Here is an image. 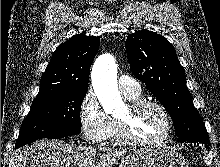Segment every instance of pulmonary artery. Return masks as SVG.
<instances>
[{
  "label": "pulmonary artery",
  "mask_w": 220,
  "mask_h": 167,
  "mask_svg": "<svg viewBox=\"0 0 220 167\" xmlns=\"http://www.w3.org/2000/svg\"><path fill=\"white\" fill-rule=\"evenodd\" d=\"M118 86L124 95H140L141 88L139 83L128 75H120L118 78Z\"/></svg>",
  "instance_id": "obj_1"
}]
</instances>
